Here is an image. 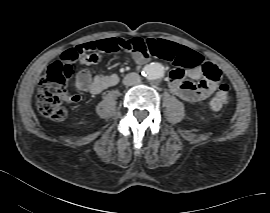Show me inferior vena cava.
<instances>
[{
    "instance_id": "inferior-vena-cava-1",
    "label": "inferior vena cava",
    "mask_w": 270,
    "mask_h": 213,
    "mask_svg": "<svg viewBox=\"0 0 270 213\" xmlns=\"http://www.w3.org/2000/svg\"><path fill=\"white\" fill-rule=\"evenodd\" d=\"M141 82V77L138 73L132 72L127 74L123 79V84L126 86H133Z\"/></svg>"
}]
</instances>
